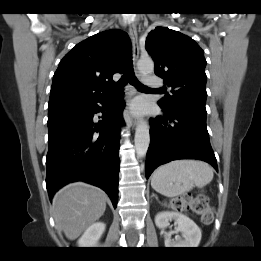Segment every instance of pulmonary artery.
Here are the masks:
<instances>
[{
  "instance_id": "obj_1",
  "label": "pulmonary artery",
  "mask_w": 261,
  "mask_h": 261,
  "mask_svg": "<svg viewBox=\"0 0 261 261\" xmlns=\"http://www.w3.org/2000/svg\"><path fill=\"white\" fill-rule=\"evenodd\" d=\"M146 81L150 89H161L163 86V80L153 75L146 76Z\"/></svg>"
}]
</instances>
